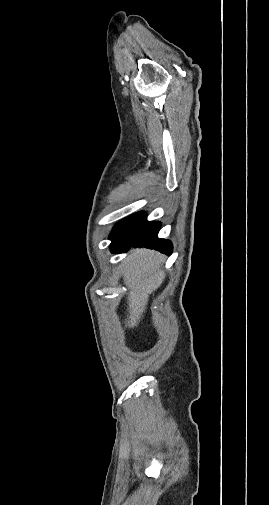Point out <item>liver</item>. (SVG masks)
<instances>
[{
    "label": "liver",
    "instance_id": "6515ba94",
    "mask_svg": "<svg viewBox=\"0 0 269 505\" xmlns=\"http://www.w3.org/2000/svg\"><path fill=\"white\" fill-rule=\"evenodd\" d=\"M164 261V255L145 248L130 250V254L123 261L122 276L124 284L129 288V316L126 326L133 328L138 325L145 312L149 295L163 283Z\"/></svg>",
    "mask_w": 269,
    "mask_h": 505
}]
</instances>
